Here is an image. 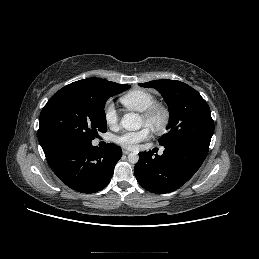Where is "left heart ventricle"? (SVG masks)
<instances>
[{
	"label": "left heart ventricle",
	"instance_id": "obj_1",
	"mask_svg": "<svg viewBox=\"0 0 259 259\" xmlns=\"http://www.w3.org/2000/svg\"><path fill=\"white\" fill-rule=\"evenodd\" d=\"M141 124L142 125H146L147 126V124H146V122H145V120L141 117Z\"/></svg>",
	"mask_w": 259,
	"mask_h": 259
}]
</instances>
